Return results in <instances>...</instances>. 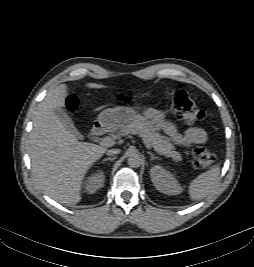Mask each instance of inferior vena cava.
I'll use <instances>...</instances> for the list:
<instances>
[{
  "instance_id": "obj_1",
  "label": "inferior vena cava",
  "mask_w": 254,
  "mask_h": 267,
  "mask_svg": "<svg viewBox=\"0 0 254 267\" xmlns=\"http://www.w3.org/2000/svg\"><path fill=\"white\" fill-rule=\"evenodd\" d=\"M119 153H120V149H111V150L107 151V155H109V156H114V155L119 154Z\"/></svg>"
}]
</instances>
